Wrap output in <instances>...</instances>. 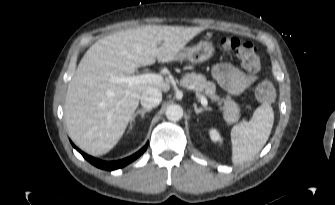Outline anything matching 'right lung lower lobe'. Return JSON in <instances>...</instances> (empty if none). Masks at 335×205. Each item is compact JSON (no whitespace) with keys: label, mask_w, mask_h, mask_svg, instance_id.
<instances>
[{"label":"right lung lower lobe","mask_w":335,"mask_h":205,"mask_svg":"<svg viewBox=\"0 0 335 205\" xmlns=\"http://www.w3.org/2000/svg\"><path fill=\"white\" fill-rule=\"evenodd\" d=\"M73 147L76 148L81 155L88 160L91 164L95 165L98 168L104 169V170H114V169H118L121 167L126 166L127 164H129L130 162L134 161L135 159H137L146 149L148 146V143L141 149L139 150L137 153L133 154L130 157H127L125 159L119 160V161H111V162H107V161H102L96 158H93L87 154H85L84 152H82L81 150H79L73 143H72Z\"/></svg>","instance_id":"1"}]
</instances>
